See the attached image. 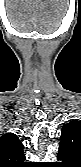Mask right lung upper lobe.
I'll return each mask as SVG.
<instances>
[{
	"mask_svg": "<svg viewBox=\"0 0 81 167\" xmlns=\"http://www.w3.org/2000/svg\"><path fill=\"white\" fill-rule=\"evenodd\" d=\"M23 144L14 133L0 137V167H23L25 155Z\"/></svg>",
	"mask_w": 81,
	"mask_h": 167,
	"instance_id": "right-lung-upper-lobe-1",
	"label": "right lung upper lobe"
}]
</instances>
